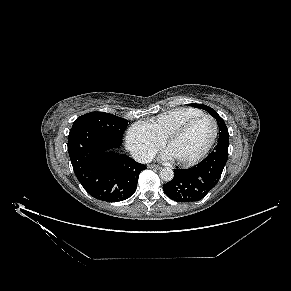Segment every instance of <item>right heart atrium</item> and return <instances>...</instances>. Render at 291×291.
Wrapping results in <instances>:
<instances>
[{"label": "right heart atrium", "mask_w": 291, "mask_h": 291, "mask_svg": "<svg viewBox=\"0 0 291 291\" xmlns=\"http://www.w3.org/2000/svg\"><path fill=\"white\" fill-rule=\"evenodd\" d=\"M126 145L138 160L144 161L161 147L162 141L143 124H134L127 131Z\"/></svg>", "instance_id": "right-heart-atrium-1"}]
</instances>
